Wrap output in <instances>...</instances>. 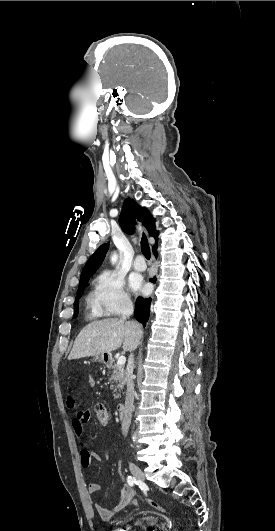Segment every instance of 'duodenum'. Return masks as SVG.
I'll use <instances>...</instances> for the list:
<instances>
[{"label": "duodenum", "instance_id": "410a0bca", "mask_svg": "<svg viewBox=\"0 0 275 531\" xmlns=\"http://www.w3.org/2000/svg\"><path fill=\"white\" fill-rule=\"evenodd\" d=\"M105 361L107 364H110L111 363V359L106 356L105 357ZM117 411H118V415L120 418H124L125 417V413H126V406L124 403H120L118 406H117Z\"/></svg>", "mask_w": 275, "mask_h": 531}]
</instances>
